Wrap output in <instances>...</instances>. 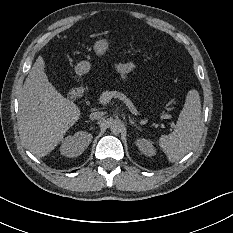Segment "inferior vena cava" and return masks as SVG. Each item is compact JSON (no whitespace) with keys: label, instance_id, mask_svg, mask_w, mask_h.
I'll return each mask as SVG.
<instances>
[{"label":"inferior vena cava","instance_id":"1","mask_svg":"<svg viewBox=\"0 0 233 233\" xmlns=\"http://www.w3.org/2000/svg\"><path fill=\"white\" fill-rule=\"evenodd\" d=\"M104 115V112L102 111H96L90 114V119L92 120H98Z\"/></svg>","mask_w":233,"mask_h":233}]
</instances>
